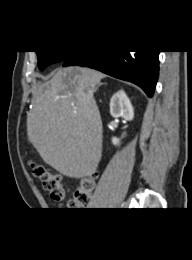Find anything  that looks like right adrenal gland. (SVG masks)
I'll use <instances>...</instances> for the list:
<instances>
[{
	"mask_svg": "<svg viewBox=\"0 0 192 260\" xmlns=\"http://www.w3.org/2000/svg\"><path fill=\"white\" fill-rule=\"evenodd\" d=\"M102 85V83H99L98 86L96 87L95 91Z\"/></svg>",
	"mask_w": 192,
	"mask_h": 260,
	"instance_id": "2a0ac1e0",
	"label": "right adrenal gland"
}]
</instances>
